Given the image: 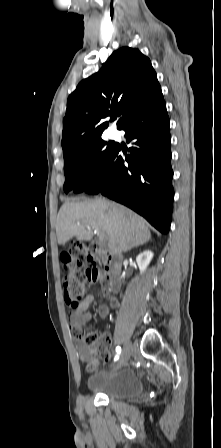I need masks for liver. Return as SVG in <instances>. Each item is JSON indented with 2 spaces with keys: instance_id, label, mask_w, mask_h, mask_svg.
Segmentation results:
<instances>
[{
  "instance_id": "obj_1",
  "label": "liver",
  "mask_w": 221,
  "mask_h": 448,
  "mask_svg": "<svg viewBox=\"0 0 221 448\" xmlns=\"http://www.w3.org/2000/svg\"><path fill=\"white\" fill-rule=\"evenodd\" d=\"M94 229L104 235L109 250L114 254L143 245L151 238L146 221L118 203L99 198L62 205L56 220L59 245H64L72 237L78 241H90Z\"/></svg>"
}]
</instances>
